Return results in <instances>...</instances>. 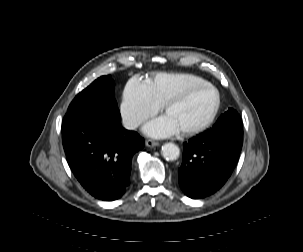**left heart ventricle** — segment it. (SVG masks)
<instances>
[{
  "instance_id": "1",
  "label": "left heart ventricle",
  "mask_w": 303,
  "mask_h": 252,
  "mask_svg": "<svg viewBox=\"0 0 303 252\" xmlns=\"http://www.w3.org/2000/svg\"><path fill=\"white\" fill-rule=\"evenodd\" d=\"M214 103V92L208 87H201L194 90L182 103L173 105L166 116L177 129L195 127L207 119Z\"/></svg>"
}]
</instances>
